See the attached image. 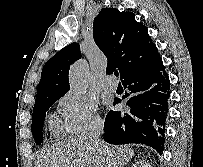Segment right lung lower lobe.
Returning a JSON list of instances; mask_svg holds the SVG:
<instances>
[{
  "instance_id": "98d812e1",
  "label": "right lung lower lobe",
  "mask_w": 203,
  "mask_h": 167,
  "mask_svg": "<svg viewBox=\"0 0 203 167\" xmlns=\"http://www.w3.org/2000/svg\"><path fill=\"white\" fill-rule=\"evenodd\" d=\"M129 90L127 112L110 111L105 119L104 140L111 144L141 143L162 152L170 97V82L162 59L122 79ZM116 98L114 105L120 103Z\"/></svg>"
}]
</instances>
